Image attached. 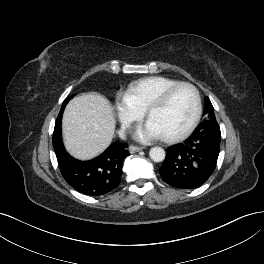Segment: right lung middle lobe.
I'll use <instances>...</instances> for the list:
<instances>
[{
    "instance_id": "right-lung-middle-lobe-1",
    "label": "right lung middle lobe",
    "mask_w": 264,
    "mask_h": 264,
    "mask_svg": "<svg viewBox=\"0 0 264 264\" xmlns=\"http://www.w3.org/2000/svg\"><path fill=\"white\" fill-rule=\"evenodd\" d=\"M73 96L69 97V98H66L62 104V108H61V111L60 112H63L66 104L68 103V101L72 98Z\"/></svg>"
}]
</instances>
